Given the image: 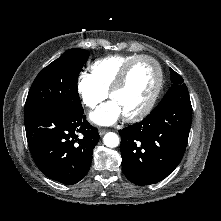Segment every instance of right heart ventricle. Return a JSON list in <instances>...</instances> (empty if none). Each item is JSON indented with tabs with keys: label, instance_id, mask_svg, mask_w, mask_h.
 I'll list each match as a JSON object with an SVG mask.
<instances>
[{
	"label": "right heart ventricle",
	"instance_id": "e07e8e85",
	"mask_svg": "<svg viewBox=\"0 0 221 221\" xmlns=\"http://www.w3.org/2000/svg\"><path fill=\"white\" fill-rule=\"evenodd\" d=\"M138 55H111L94 61L91 66V75L99 87L109 92L122 68Z\"/></svg>",
	"mask_w": 221,
	"mask_h": 221
}]
</instances>
